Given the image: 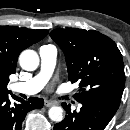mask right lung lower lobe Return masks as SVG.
I'll return each instance as SVG.
<instances>
[{"label":"right lung lower lobe","instance_id":"right-lung-lower-lobe-1","mask_svg":"<svg viewBox=\"0 0 130 130\" xmlns=\"http://www.w3.org/2000/svg\"><path fill=\"white\" fill-rule=\"evenodd\" d=\"M18 103L12 104L8 93H0V130H21L26 114L33 109L43 107L41 98H30L25 101L12 95Z\"/></svg>","mask_w":130,"mask_h":130}]
</instances>
